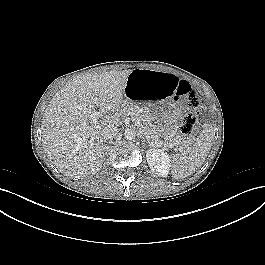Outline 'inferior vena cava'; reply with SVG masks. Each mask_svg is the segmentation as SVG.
I'll list each match as a JSON object with an SVG mask.
<instances>
[{
	"label": "inferior vena cava",
	"mask_w": 265,
	"mask_h": 265,
	"mask_svg": "<svg viewBox=\"0 0 265 265\" xmlns=\"http://www.w3.org/2000/svg\"><path fill=\"white\" fill-rule=\"evenodd\" d=\"M118 128L114 125L106 126L101 131V137L104 140L113 139L118 134Z\"/></svg>",
	"instance_id": "602c4592"
}]
</instances>
